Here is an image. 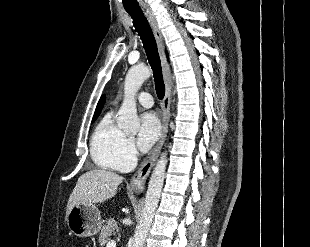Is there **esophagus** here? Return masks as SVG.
Here are the masks:
<instances>
[{
	"label": "esophagus",
	"instance_id": "34e87169",
	"mask_svg": "<svg viewBox=\"0 0 310 247\" xmlns=\"http://www.w3.org/2000/svg\"><path fill=\"white\" fill-rule=\"evenodd\" d=\"M146 16L150 23V26L152 28V31H153V34H154V37L156 39L157 46H158V51H159V56L161 59V65H162V71H163V78H164V83H165V96L162 102L163 120H162L161 135L158 140V143L155 149L153 150V152L146 159V161L141 165L139 170L133 175L130 181L131 187L136 192L143 191L146 180L153 166L155 165V162L160 154V151L166 139L167 132H168V125H169L171 86H172L171 68L166 58L162 33L160 31V28L154 16L151 14H146Z\"/></svg>",
	"mask_w": 310,
	"mask_h": 247
}]
</instances>
